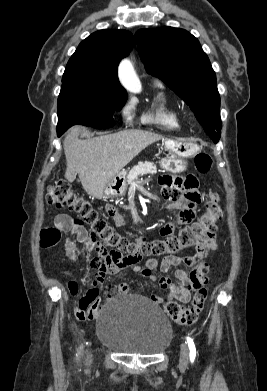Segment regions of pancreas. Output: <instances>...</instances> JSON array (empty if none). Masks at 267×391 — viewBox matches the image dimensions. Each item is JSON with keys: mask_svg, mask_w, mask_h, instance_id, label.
<instances>
[{"mask_svg": "<svg viewBox=\"0 0 267 391\" xmlns=\"http://www.w3.org/2000/svg\"><path fill=\"white\" fill-rule=\"evenodd\" d=\"M157 172L156 166L152 162H139L127 174V183L133 184L136 182L138 176L145 174H155Z\"/></svg>", "mask_w": 267, "mask_h": 391, "instance_id": "1", "label": "pancreas"}]
</instances>
